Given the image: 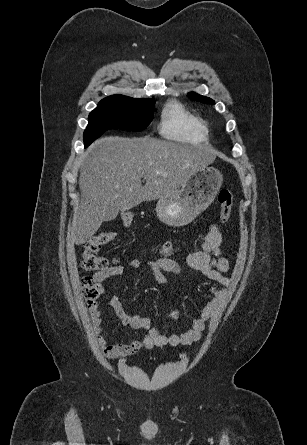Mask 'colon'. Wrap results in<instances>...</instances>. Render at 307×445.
Masks as SVG:
<instances>
[{
    "mask_svg": "<svg viewBox=\"0 0 307 445\" xmlns=\"http://www.w3.org/2000/svg\"><path fill=\"white\" fill-rule=\"evenodd\" d=\"M218 201L220 204L219 221L225 223L228 221L232 207L233 200L230 190L223 188L219 192ZM133 220L131 213H125L122 215V221L125 224H130ZM115 238L114 232H101L91 239H89L82 252V267L87 271H104L110 267L109 260L98 254L99 250L105 245L109 244ZM160 253L166 255L172 251V245L169 243L163 244L160 249ZM83 294L90 308L96 305L99 298L100 291L97 283L94 281L93 277H85L82 281Z\"/></svg>",
    "mask_w": 307,
    "mask_h": 445,
    "instance_id": "1",
    "label": "colon"
}]
</instances>
